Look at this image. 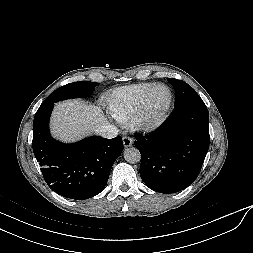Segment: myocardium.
Segmentation results:
<instances>
[{
  "label": "myocardium",
  "mask_w": 253,
  "mask_h": 253,
  "mask_svg": "<svg viewBox=\"0 0 253 253\" xmlns=\"http://www.w3.org/2000/svg\"><path fill=\"white\" fill-rule=\"evenodd\" d=\"M160 87H164L169 91V102L165 110L157 117H149L146 113V108L148 101L152 95V93ZM174 108V93L172 89L166 85V84H155L153 85L147 92L144 94V96L141 99V102L139 104V107L134 114L133 118L131 119V125L139 130V131H145L150 132L158 129L161 127L166 120L171 115Z\"/></svg>",
  "instance_id": "f54148a6"
}]
</instances>
